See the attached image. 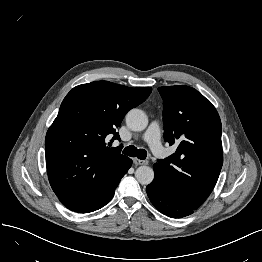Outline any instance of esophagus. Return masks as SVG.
<instances>
[{"mask_svg": "<svg viewBox=\"0 0 262 262\" xmlns=\"http://www.w3.org/2000/svg\"><path fill=\"white\" fill-rule=\"evenodd\" d=\"M133 162L136 165H146V164H148L147 160H141V159H138V158H134Z\"/></svg>", "mask_w": 262, "mask_h": 262, "instance_id": "1", "label": "esophagus"}]
</instances>
